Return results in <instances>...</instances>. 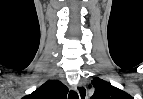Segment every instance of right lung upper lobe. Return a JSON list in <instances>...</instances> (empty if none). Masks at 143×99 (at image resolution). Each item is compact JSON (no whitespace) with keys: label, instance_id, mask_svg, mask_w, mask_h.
Masks as SVG:
<instances>
[{"label":"right lung upper lobe","instance_id":"cb5924a9","mask_svg":"<svg viewBox=\"0 0 143 99\" xmlns=\"http://www.w3.org/2000/svg\"><path fill=\"white\" fill-rule=\"evenodd\" d=\"M68 88L59 80L47 81L23 99H66Z\"/></svg>","mask_w":143,"mask_h":99}]
</instances>
